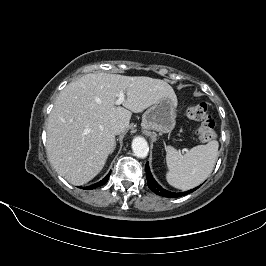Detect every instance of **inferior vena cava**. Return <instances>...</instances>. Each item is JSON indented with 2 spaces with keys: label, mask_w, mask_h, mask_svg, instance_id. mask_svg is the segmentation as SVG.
<instances>
[{
  "label": "inferior vena cava",
  "mask_w": 266,
  "mask_h": 266,
  "mask_svg": "<svg viewBox=\"0 0 266 266\" xmlns=\"http://www.w3.org/2000/svg\"><path fill=\"white\" fill-rule=\"evenodd\" d=\"M125 129L126 125L122 120H115L110 124V130L115 135L123 133Z\"/></svg>",
  "instance_id": "inferior-vena-cava-1"
}]
</instances>
